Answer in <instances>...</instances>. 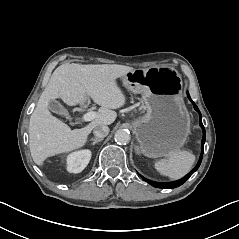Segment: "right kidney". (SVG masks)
Instances as JSON below:
<instances>
[{
    "mask_svg": "<svg viewBox=\"0 0 239 239\" xmlns=\"http://www.w3.org/2000/svg\"><path fill=\"white\" fill-rule=\"evenodd\" d=\"M91 159V151L88 149L70 153L67 156V171L69 173H80L88 165Z\"/></svg>",
    "mask_w": 239,
    "mask_h": 239,
    "instance_id": "obj_1",
    "label": "right kidney"
}]
</instances>
